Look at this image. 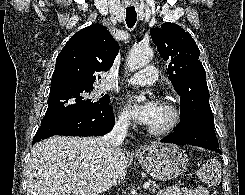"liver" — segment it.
I'll list each match as a JSON object with an SVG mask.
<instances>
[{"mask_svg": "<svg viewBox=\"0 0 245 195\" xmlns=\"http://www.w3.org/2000/svg\"><path fill=\"white\" fill-rule=\"evenodd\" d=\"M127 156L104 137L53 136L32 148L27 195H98L125 179Z\"/></svg>", "mask_w": 245, "mask_h": 195, "instance_id": "1", "label": "liver"}]
</instances>
